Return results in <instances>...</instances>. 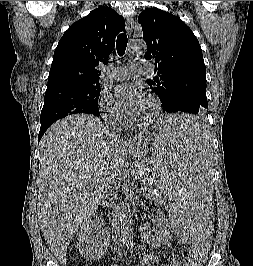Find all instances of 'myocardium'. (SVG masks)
Here are the masks:
<instances>
[{
    "label": "myocardium",
    "mask_w": 253,
    "mask_h": 266,
    "mask_svg": "<svg viewBox=\"0 0 253 266\" xmlns=\"http://www.w3.org/2000/svg\"><path fill=\"white\" fill-rule=\"evenodd\" d=\"M147 98L150 100L152 104V112L148 117L139 121V124L142 125H148L153 123L158 118L161 112V103L159 99L152 94H149Z\"/></svg>",
    "instance_id": "1"
}]
</instances>
